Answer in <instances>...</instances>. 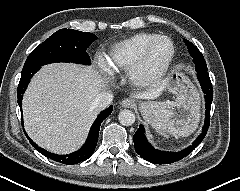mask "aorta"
<instances>
[{
  "mask_svg": "<svg viewBox=\"0 0 240 191\" xmlns=\"http://www.w3.org/2000/svg\"><path fill=\"white\" fill-rule=\"evenodd\" d=\"M119 122L124 126H131L135 122V114L128 109L120 111L118 115Z\"/></svg>",
  "mask_w": 240,
  "mask_h": 191,
  "instance_id": "obj_1",
  "label": "aorta"
}]
</instances>
